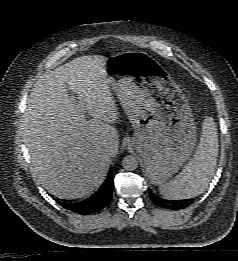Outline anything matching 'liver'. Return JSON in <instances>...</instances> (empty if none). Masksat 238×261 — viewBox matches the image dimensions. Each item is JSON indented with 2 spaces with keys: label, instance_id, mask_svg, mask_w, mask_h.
Wrapping results in <instances>:
<instances>
[{
  "label": "liver",
  "instance_id": "liver-1",
  "mask_svg": "<svg viewBox=\"0 0 238 261\" xmlns=\"http://www.w3.org/2000/svg\"><path fill=\"white\" fill-rule=\"evenodd\" d=\"M106 62L101 55L75 58L43 75L28 98L22 136L33 176L58 198H82L99 187L117 153L119 112Z\"/></svg>",
  "mask_w": 238,
  "mask_h": 261
}]
</instances>
